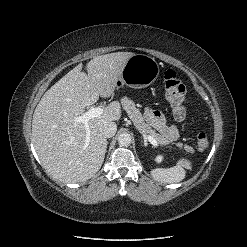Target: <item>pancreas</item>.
I'll return each mask as SVG.
<instances>
[{
  "label": "pancreas",
  "mask_w": 247,
  "mask_h": 247,
  "mask_svg": "<svg viewBox=\"0 0 247 247\" xmlns=\"http://www.w3.org/2000/svg\"><path fill=\"white\" fill-rule=\"evenodd\" d=\"M122 105L124 110L127 112L128 116L134 123L135 127L139 130V132L144 135H150L152 136L159 144L163 146H168V144L172 143L168 137L164 135H160L157 133L154 129L150 127L149 124H147L139 111V109L136 108L135 103L126 97L122 99ZM173 144V143H172ZM179 149L182 148L183 144L182 143H176L175 144ZM184 150L187 153H193V149L190 146H185Z\"/></svg>",
  "instance_id": "cf45deb5"
}]
</instances>
